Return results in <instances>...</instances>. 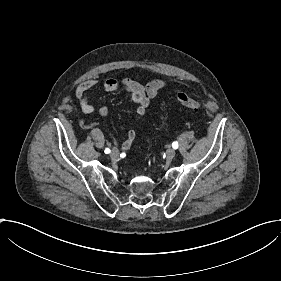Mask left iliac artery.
<instances>
[{"label": "left iliac artery", "instance_id": "left-iliac-artery-1", "mask_svg": "<svg viewBox=\"0 0 281 281\" xmlns=\"http://www.w3.org/2000/svg\"><path fill=\"white\" fill-rule=\"evenodd\" d=\"M172 147H173L174 149H177V148H178V142H173V143H172Z\"/></svg>", "mask_w": 281, "mask_h": 281}]
</instances>
